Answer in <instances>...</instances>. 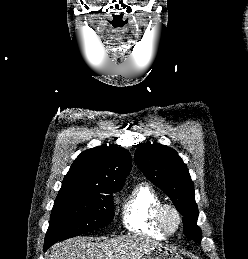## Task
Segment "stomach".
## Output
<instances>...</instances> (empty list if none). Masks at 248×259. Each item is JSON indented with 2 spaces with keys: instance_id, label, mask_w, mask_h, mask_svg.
Listing matches in <instances>:
<instances>
[{
  "instance_id": "obj_1",
  "label": "stomach",
  "mask_w": 248,
  "mask_h": 259,
  "mask_svg": "<svg viewBox=\"0 0 248 259\" xmlns=\"http://www.w3.org/2000/svg\"><path fill=\"white\" fill-rule=\"evenodd\" d=\"M139 259H183V257L170 248L158 246L150 249Z\"/></svg>"
}]
</instances>
